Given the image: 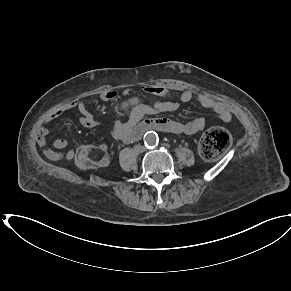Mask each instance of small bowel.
Returning <instances> with one entry per match:
<instances>
[{
	"label": "small bowel",
	"mask_w": 291,
	"mask_h": 291,
	"mask_svg": "<svg viewBox=\"0 0 291 291\" xmlns=\"http://www.w3.org/2000/svg\"><path fill=\"white\" fill-rule=\"evenodd\" d=\"M143 90L148 94L156 96L158 99L152 104H139L135 106L128 119L125 121H116L111 129V135L118 141L131 143L140 139L146 131L159 130L173 134L192 135L203 130L207 124L205 117H198L189 122H181L170 118H147L160 113H169L178 109L179 102L187 103L196 99V101L205 109L210 110L216 117L224 123L232 120V115L227 107L207 94H194L191 90H184L179 94L178 100H175L172 92L162 85H144ZM118 97L114 90H107L100 95L103 101H113ZM70 110L79 112L78 122L83 127H93L97 121L87 107L83 99L72 100L63 106L51 112L44 120L37 134V143L45 157L53 161L71 160L74 157L72 150H66L69 142L64 138H55L51 146L55 151L47 146L46 138L49 133L48 124L62 117Z\"/></svg>",
	"instance_id": "obj_1"
}]
</instances>
